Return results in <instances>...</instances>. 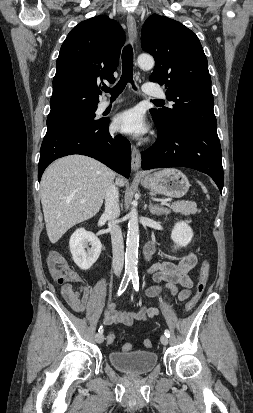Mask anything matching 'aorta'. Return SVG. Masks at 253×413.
Wrapping results in <instances>:
<instances>
[{
  "label": "aorta",
  "instance_id": "1",
  "mask_svg": "<svg viewBox=\"0 0 253 413\" xmlns=\"http://www.w3.org/2000/svg\"><path fill=\"white\" fill-rule=\"evenodd\" d=\"M137 63L142 69H152L155 65V61L152 56L147 54H141ZM138 247H139V224H138V212L135 207L131 208L129 213L128 233L126 242L125 253V269L128 273L137 271L138 260Z\"/></svg>",
  "mask_w": 253,
  "mask_h": 413
}]
</instances>
